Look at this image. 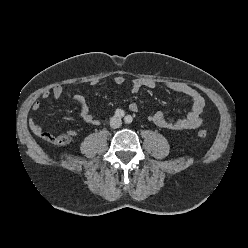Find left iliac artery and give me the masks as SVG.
Returning a JSON list of instances; mask_svg holds the SVG:
<instances>
[{"mask_svg":"<svg viewBox=\"0 0 248 248\" xmlns=\"http://www.w3.org/2000/svg\"><path fill=\"white\" fill-rule=\"evenodd\" d=\"M124 120H125V123L130 124L132 123L133 118L130 115H127Z\"/></svg>","mask_w":248,"mask_h":248,"instance_id":"1","label":"left iliac artery"}]
</instances>
